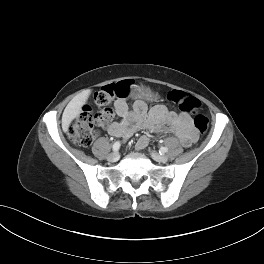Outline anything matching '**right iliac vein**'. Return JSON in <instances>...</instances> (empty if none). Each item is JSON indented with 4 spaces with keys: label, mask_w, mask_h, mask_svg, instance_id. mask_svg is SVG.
Listing matches in <instances>:
<instances>
[{
    "label": "right iliac vein",
    "mask_w": 264,
    "mask_h": 264,
    "mask_svg": "<svg viewBox=\"0 0 264 264\" xmlns=\"http://www.w3.org/2000/svg\"><path fill=\"white\" fill-rule=\"evenodd\" d=\"M107 158L111 162H116L119 159V153L113 152V153L109 154Z\"/></svg>",
    "instance_id": "right-iliac-vein-1"
}]
</instances>
